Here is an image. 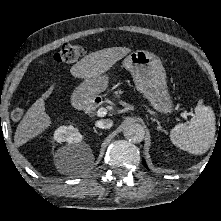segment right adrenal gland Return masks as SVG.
<instances>
[{
    "label": "right adrenal gland",
    "instance_id": "2a0ac1e0",
    "mask_svg": "<svg viewBox=\"0 0 221 221\" xmlns=\"http://www.w3.org/2000/svg\"><path fill=\"white\" fill-rule=\"evenodd\" d=\"M94 132H95L96 134H98V135H102V133H101V132H100V133L97 132L96 129H94Z\"/></svg>",
    "mask_w": 221,
    "mask_h": 221
}]
</instances>
